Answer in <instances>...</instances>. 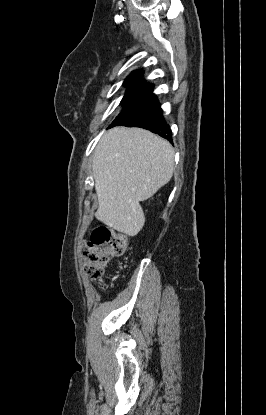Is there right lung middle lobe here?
I'll return each instance as SVG.
<instances>
[{
    "mask_svg": "<svg viewBox=\"0 0 266 415\" xmlns=\"http://www.w3.org/2000/svg\"><path fill=\"white\" fill-rule=\"evenodd\" d=\"M148 95L140 93H126L123 97L121 104H123V110L133 106L134 104L142 101Z\"/></svg>",
    "mask_w": 266,
    "mask_h": 415,
    "instance_id": "obj_1",
    "label": "right lung middle lobe"
}]
</instances>
